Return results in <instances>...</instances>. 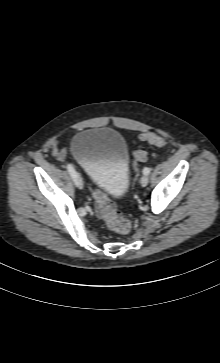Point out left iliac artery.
<instances>
[{
	"label": "left iliac artery",
	"instance_id": "1",
	"mask_svg": "<svg viewBox=\"0 0 220 363\" xmlns=\"http://www.w3.org/2000/svg\"><path fill=\"white\" fill-rule=\"evenodd\" d=\"M143 173H144L145 175H149V174H150V168L145 167V168L143 169Z\"/></svg>",
	"mask_w": 220,
	"mask_h": 363
}]
</instances>
